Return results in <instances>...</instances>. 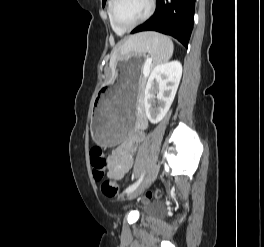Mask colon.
Masks as SVG:
<instances>
[{
  "label": "colon",
  "instance_id": "obj_1",
  "mask_svg": "<svg viewBox=\"0 0 264 247\" xmlns=\"http://www.w3.org/2000/svg\"><path fill=\"white\" fill-rule=\"evenodd\" d=\"M90 162L92 166L93 176L96 180H102L104 178L106 169L108 167V160L104 152L99 147H94L90 152ZM103 194L107 197H115L118 195V188L114 182L110 180L103 181L101 185ZM149 197H160L159 191L149 192Z\"/></svg>",
  "mask_w": 264,
  "mask_h": 247
}]
</instances>
